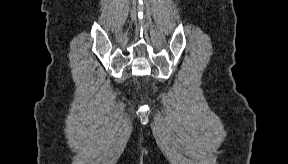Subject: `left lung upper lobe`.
<instances>
[{
	"instance_id": "left-lung-upper-lobe-1",
	"label": "left lung upper lobe",
	"mask_w": 288,
	"mask_h": 164,
	"mask_svg": "<svg viewBox=\"0 0 288 164\" xmlns=\"http://www.w3.org/2000/svg\"><path fill=\"white\" fill-rule=\"evenodd\" d=\"M255 82H256L255 79H253V78H250V79H249V83H250V84H254V85H255Z\"/></svg>"
}]
</instances>
